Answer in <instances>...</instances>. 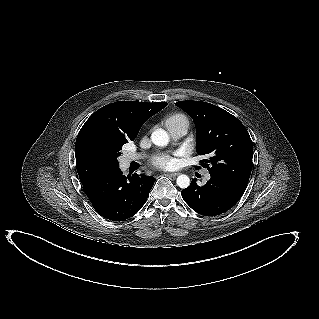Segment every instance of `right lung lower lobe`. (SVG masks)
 Returning <instances> with one entry per match:
<instances>
[{
  "mask_svg": "<svg viewBox=\"0 0 319 319\" xmlns=\"http://www.w3.org/2000/svg\"><path fill=\"white\" fill-rule=\"evenodd\" d=\"M154 181L153 177L136 173L125 177L118 167L84 184L83 189L101 216L123 221L143 207Z\"/></svg>",
  "mask_w": 319,
  "mask_h": 319,
  "instance_id": "98d812e1",
  "label": "right lung lower lobe"
}]
</instances>
